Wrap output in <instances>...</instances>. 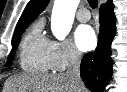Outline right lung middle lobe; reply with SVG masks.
<instances>
[{"mask_svg": "<svg viewBox=\"0 0 127 92\" xmlns=\"http://www.w3.org/2000/svg\"><path fill=\"white\" fill-rule=\"evenodd\" d=\"M27 27H24L16 32H14V36H13V39H12V49H11V52L8 56V59H7V63L6 65L7 66H11L12 65V62H13V58H14V55H15V51L17 49V46L20 42V39H21V35L22 33L24 32V30L26 29Z\"/></svg>", "mask_w": 127, "mask_h": 92, "instance_id": "dd1d6c3e", "label": "right lung middle lobe"}]
</instances>
